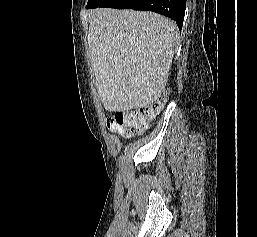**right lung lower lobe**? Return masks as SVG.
<instances>
[{
  "mask_svg": "<svg viewBox=\"0 0 257 237\" xmlns=\"http://www.w3.org/2000/svg\"><path fill=\"white\" fill-rule=\"evenodd\" d=\"M100 7L157 12L176 21L177 26L181 30L185 15L186 0H108Z\"/></svg>",
  "mask_w": 257,
  "mask_h": 237,
  "instance_id": "obj_1",
  "label": "right lung lower lobe"
}]
</instances>
